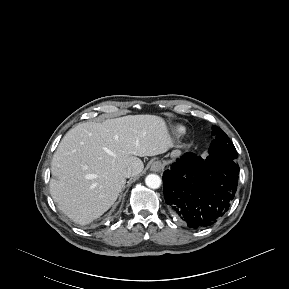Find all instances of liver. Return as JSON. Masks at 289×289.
<instances>
[{
	"instance_id": "obj_1",
	"label": "liver",
	"mask_w": 289,
	"mask_h": 289,
	"mask_svg": "<svg viewBox=\"0 0 289 289\" xmlns=\"http://www.w3.org/2000/svg\"><path fill=\"white\" fill-rule=\"evenodd\" d=\"M173 145L165 121L155 115L79 123L53 155L50 194L71 220L88 224L117 200L126 184L124 170L138 176L144 168L139 157L163 154Z\"/></svg>"
}]
</instances>
